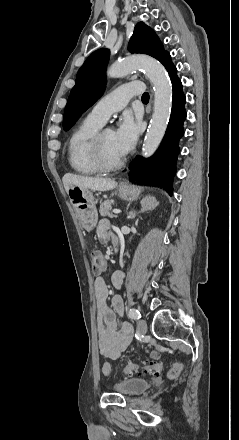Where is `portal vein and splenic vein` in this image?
<instances>
[{
	"instance_id": "obj_1",
	"label": "portal vein and splenic vein",
	"mask_w": 239,
	"mask_h": 440,
	"mask_svg": "<svg viewBox=\"0 0 239 440\" xmlns=\"http://www.w3.org/2000/svg\"><path fill=\"white\" fill-rule=\"evenodd\" d=\"M114 211L115 212H112V215H116V214L118 215L121 210L120 209H115Z\"/></svg>"
}]
</instances>
